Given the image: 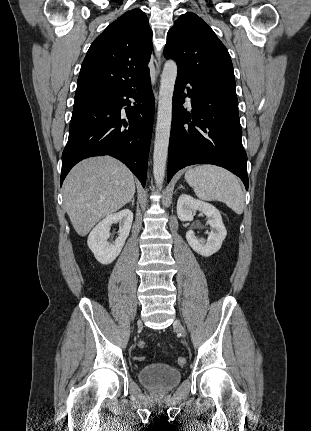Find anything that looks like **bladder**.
Masks as SVG:
<instances>
[{
    "mask_svg": "<svg viewBox=\"0 0 311 431\" xmlns=\"http://www.w3.org/2000/svg\"><path fill=\"white\" fill-rule=\"evenodd\" d=\"M137 376L143 386L156 392H166L173 389L182 378L180 370L165 363L145 365L139 369Z\"/></svg>",
    "mask_w": 311,
    "mask_h": 431,
    "instance_id": "bladder-1",
    "label": "bladder"
}]
</instances>
